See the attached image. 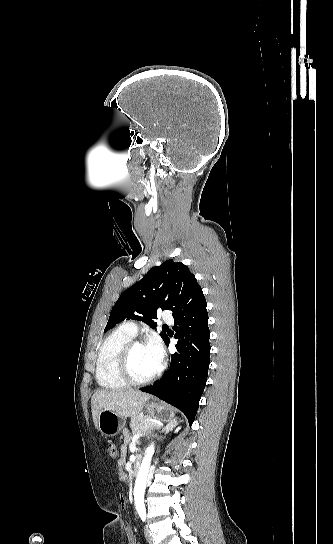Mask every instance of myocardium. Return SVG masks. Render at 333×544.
Segmentation results:
<instances>
[{
  "label": "myocardium",
  "mask_w": 333,
  "mask_h": 544,
  "mask_svg": "<svg viewBox=\"0 0 333 544\" xmlns=\"http://www.w3.org/2000/svg\"><path fill=\"white\" fill-rule=\"evenodd\" d=\"M137 345H146V343L142 340L138 339H131L126 345L123 347V349L120 352L119 359H118V370L121 378L129 385L132 386H144L147 385L154 380H156L159 375L162 372V366L160 365L158 370L152 374L150 377L146 379H136L130 369V358L131 354L133 352V349Z\"/></svg>",
  "instance_id": "myocardium-1"
}]
</instances>
